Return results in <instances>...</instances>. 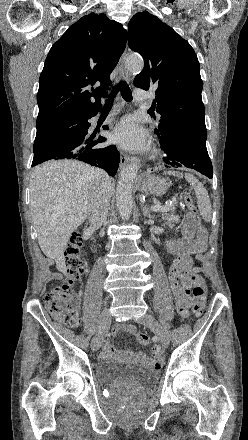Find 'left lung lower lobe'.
<instances>
[{"mask_svg":"<svg viewBox=\"0 0 248 440\" xmlns=\"http://www.w3.org/2000/svg\"><path fill=\"white\" fill-rule=\"evenodd\" d=\"M161 147L166 152L163 158L166 167H188L195 169L209 178L213 177L212 164L205 143H198L183 137L169 136L161 140Z\"/></svg>","mask_w":248,"mask_h":440,"instance_id":"obj_1","label":"left lung lower lobe"}]
</instances>
